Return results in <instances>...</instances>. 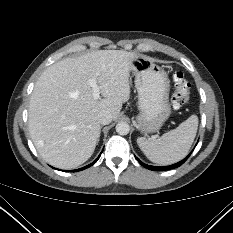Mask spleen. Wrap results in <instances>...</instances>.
I'll return each mask as SVG.
<instances>
[{"mask_svg": "<svg viewBox=\"0 0 233 233\" xmlns=\"http://www.w3.org/2000/svg\"><path fill=\"white\" fill-rule=\"evenodd\" d=\"M198 128V117L191 115L177 128L158 139L137 138V144L153 163L168 165L183 159L189 152Z\"/></svg>", "mask_w": 233, "mask_h": 233, "instance_id": "1", "label": "spleen"}]
</instances>
